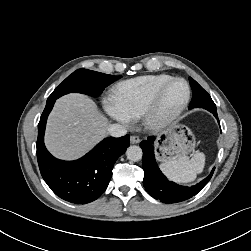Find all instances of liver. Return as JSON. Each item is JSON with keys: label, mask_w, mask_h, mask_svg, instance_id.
<instances>
[{"label": "liver", "mask_w": 251, "mask_h": 251, "mask_svg": "<svg viewBox=\"0 0 251 251\" xmlns=\"http://www.w3.org/2000/svg\"><path fill=\"white\" fill-rule=\"evenodd\" d=\"M109 126L90 97L68 94L56 101L49 115L45 143L57 158L77 159L106 136Z\"/></svg>", "instance_id": "liver-1"}]
</instances>
